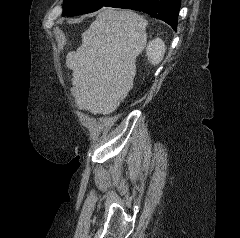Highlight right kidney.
Instances as JSON below:
<instances>
[{"instance_id":"ca27d5eb","label":"right kidney","mask_w":240,"mask_h":238,"mask_svg":"<svg viewBox=\"0 0 240 238\" xmlns=\"http://www.w3.org/2000/svg\"><path fill=\"white\" fill-rule=\"evenodd\" d=\"M165 50V44L162 39L155 38L150 41L146 48V54L150 63L153 65L159 64L164 57Z\"/></svg>"}]
</instances>
